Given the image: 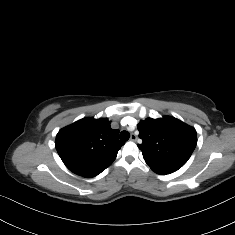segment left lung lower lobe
Wrapping results in <instances>:
<instances>
[{
  "instance_id": "obj_1",
  "label": "left lung lower lobe",
  "mask_w": 235,
  "mask_h": 235,
  "mask_svg": "<svg viewBox=\"0 0 235 235\" xmlns=\"http://www.w3.org/2000/svg\"><path fill=\"white\" fill-rule=\"evenodd\" d=\"M145 161L155 173L162 175L173 173L181 168L178 165L161 163L154 160H145Z\"/></svg>"
}]
</instances>
